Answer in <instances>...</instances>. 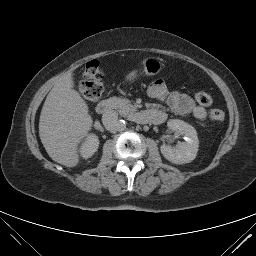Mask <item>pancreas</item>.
Wrapping results in <instances>:
<instances>
[{"mask_svg": "<svg viewBox=\"0 0 256 256\" xmlns=\"http://www.w3.org/2000/svg\"><path fill=\"white\" fill-rule=\"evenodd\" d=\"M112 107L117 109L121 114L126 115L131 111H135L136 107L133 106L129 100L127 99H120L117 97L111 98Z\"/></svg>", "mask_w": 256, "mask_h": 256, "instance_id": "1", "label": "pancreas"}]
</instances>
